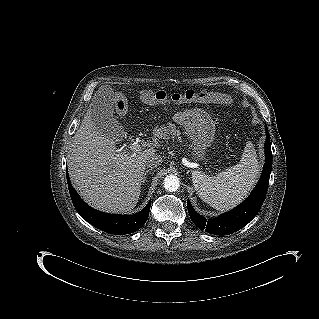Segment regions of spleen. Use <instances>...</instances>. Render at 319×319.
<instances>
[{"mask_svg":"<svg viewBox=\"0 0 319 319\" xmlns=\"http://www.w3.org/2000/svg\"><path fill=\"white\" fill-rule=\"evenodd\" d=\"M256 157V150L248 141L240 162L226 171L216 176L193 171L192 182L198 196L220 211L235 207L248 195L259 175Z\"/></svg>","mask_w":319,"mask_h":319,"instance_id":"spleen-1","label":"spleen"}]
</instances>
